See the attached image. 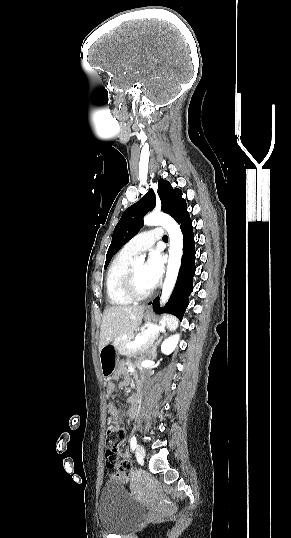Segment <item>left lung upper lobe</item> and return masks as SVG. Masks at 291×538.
<instances>
[{
	"label": "left lung upper lobe",
	"mask_w": 291,
	"mask_h": 538,
	"mask_svg": "<svg viewBox=\"0 0 291 538\" xmlns=\"http://www.w3.org/2000/svg\"><path fill=\"white\" fill-rule=\"evenodd\" d=\"M157 193L162 204L161 210L172 216L176 222L187 213L186 201L182 198L180 189H173L168 181L159 179ZM155 205L156 197L151 189L137 203L124 211L114 229L112 242L106 255L105 268L108 266L112 256L140 230L143 216L152 210Z\"/></svg>",
	"instance_id": "obj_1"
}]
</instances>
